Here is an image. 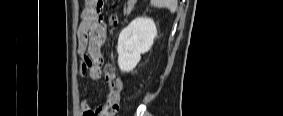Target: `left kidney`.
Here are the masks:
<instances>
[{"label":"left kidney","instance_id":"left-kidney-1","mask_svg":"<svg viewBox=\"0 0 283 116\" xmlns=\"http://www.w3.org/2000/svg\"><path fill=\"white\" fill-rule=\"evenodd\" d=\"M157 36L154 21L146 17L134 19L125 27L118 38V65L121 71H132L141 59V54L147 53Z\"/></svg>","mask_w":283,"mask_h":116}]
</instances>
